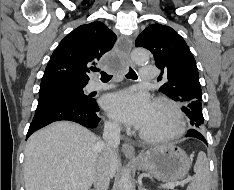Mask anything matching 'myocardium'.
Listing matches in <instances>:
<instances>
[{
	"mask_svg": "<svg viewBox=\"0 0 234 190\" xmlns=\"http://www.w3.org/2000/svg\"><path fill=\"white\" fill-rule=\"evenodd\" d=\"M153 105L166 109L174 118L175 126L172 130L162 133L139 132V136L146 142L156 143L168 140H174L181 137L186 130V122L180 108L172 101L166 98H156Z\"/></svg>",
	"mask_w": 234,
	"mask_h": 190,
	"instance_id": "1",
	"label": "myocardium"
}]
</instances>
